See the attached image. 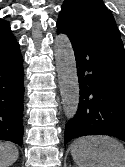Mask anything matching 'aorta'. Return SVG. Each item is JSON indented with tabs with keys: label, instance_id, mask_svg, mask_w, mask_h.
Wrapping results in <instances>:
<instances>
[{
	"label": "aorta",
	"instance_id": "obj_1",
	"mask_svg": "<svg viewBox=\"0 0 125 167\" xmlns=\"http://www.w3.org/2000/svg\"><path fill=\"white\" fill-rule=\"evenodd\" d=\"M54 55L63 109L67 118H73L79 104V84L74 51L65 34L56 36Z\"/></svg>",
	"mask_w": 125,
	"mask_h": 167
}]
</instances>
